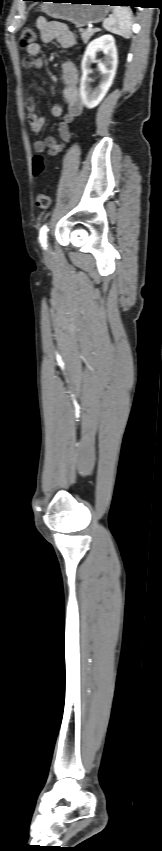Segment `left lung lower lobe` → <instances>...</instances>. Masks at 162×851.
Returning a JSON list of instances; mask_svg holds the SVG:
<instances>
[{
	"label": "left lung lower lobe",
	"instance_id": "obj_1",
	"mask_svg": "<svg viewBox=\"0 0 162 851\" xmlns=\"http://www.w3.org/2000/svg\"><path fill=\"white\" fill-rule=\"evenodd\" d=\"M33 1H43V0H33ZM106 3H110L111 5H122V6H130L133 7V0H107Z\"/></svg>",
	"mask_w": 162,
	"mask_h": 851
}]
</instances>
